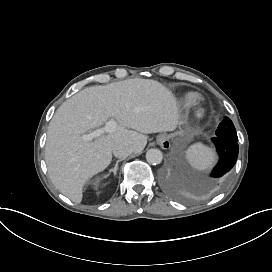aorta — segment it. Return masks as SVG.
Here are the masks:
<instances>
[{
  "mask_svg": "<svg viewBox=\"0 0 272 272\" xmlns=\"http://www.w3.org/2000/svg\"><path fill=\"white\" fill-rule=\"evenodd\" d=\"M163 156L160 150L150 149L146 153V160L152 165H158L162 162Z\"/></svg>",
  "mask_w": 272,
  "mask_h": 272,
  "instance_id": "aorta-1",
  "label": "aorta"
}]
</instances>
